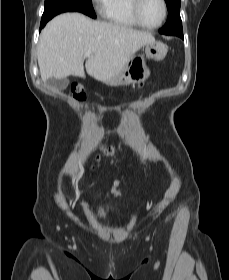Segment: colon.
I'll return each instance as SVG.
<instances>
[{"label": "colon", "mask_w": 229, "mask_h": 280, "mask_svg": "<svg viewBox=\"0 0 229 280\" xmlns=\"http://www.w3.org/2000/svg\"><path fill=\"white\" fill-rule=\"evenodd\" d=\"M70 92H71L72 96L79 101H82L85 98V90H84V87L82 84H79V83L72 84L70 87ZM121 148L122 147H105L101 150V153L103 155L111 158Z\"/></svg>", "instance_id": "obj_1"}]
</instances>
